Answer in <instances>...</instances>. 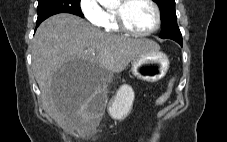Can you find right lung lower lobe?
Returning <instances> with one entry per match:
<instances>
[{
  "instance_id": "98d812e1",
  "label": "right lung lower lobe",
  "mask_w": 227,
  "mask_h": 142,
  "mask_svg": "<svg viewBox=\"0 0 227 142\" xmlns=\"http://www.w3.org/2000/svg\"><path fill=\"white\" fill-rule=\"evenodd\" d=\"M42 22V21H41ZM39 21L36 22V28L38 27V25L41 23Z\"/></svg>"
}]
</instances>
